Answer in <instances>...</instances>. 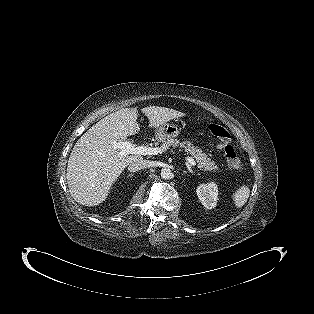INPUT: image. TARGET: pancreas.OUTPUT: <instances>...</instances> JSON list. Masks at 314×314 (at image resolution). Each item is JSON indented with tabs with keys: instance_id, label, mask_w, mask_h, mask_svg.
Returning <instances> with one entry per match:
<instances>
[{
	"instance_id": "obj_1",
	"label": "pancreas",
	"mask_w": 314,
	"mask_h": 314,
	"mask_svg": "<svg viewBox=\"0 0 314 314\" xmlns=\"http://www.w3.org/2000/svg\"><path fill=\"white\" fill-rule=\"evenodd\" d=\"M163 142L164 151L169 150L170 147L173 148H184L185 152L190 154L192 158L198 163V168L204 171H217L219 168L215 165V162L212 161L201 149L197 148L190 141L179 142L176 139H166Z\"/></svg>"
}]
</instances>
